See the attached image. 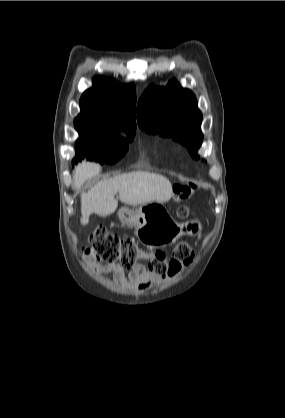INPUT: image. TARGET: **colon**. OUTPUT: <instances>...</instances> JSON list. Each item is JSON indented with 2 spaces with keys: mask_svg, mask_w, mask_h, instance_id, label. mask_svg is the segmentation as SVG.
<instances>
[{
  "mask_svg": "<svg viewBox=\"0 0 285 418\" xmlns=\"http://www.w3.org/2000/svg\"><path fill=\"white\" fill-rule=\"evenodd\" d=\"M174 187L175 193L182 200L190 197L189 191H180L177 184ZM180 213L183 217L187 215L185 209ZM85 254L89 260L119 262L125 267H131L141 259L148 260L150 271L159 277L173 276L193 261V253L185 240L180 241L168 257L161 251L141 250L132 238L109 233L103 226L96 227L92 231Z\"/></svg>",
  "mask_w": 285,
  "mask_h": 418,
  "instance_id": "1",
  "label": "colon"
}]
</instances>
